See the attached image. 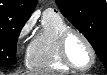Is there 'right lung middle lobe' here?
<instances>
[{
  "label": "right lung middle lobe",
  "mask_w": 107,
  "mask_h": 75,
  "mask_svg": "<svg viewBox=\"0 0 107 75\" xmlns=\"http://www.w3.org/2000/svg\"><path fill=\"white\" fill-rule=\"evenodd\" d=\"M24 23L11 24L0 29V65L11 66L16 63V43Z\"/></svg>",
  "instance_id": "obj_1"
}]
</instances>
